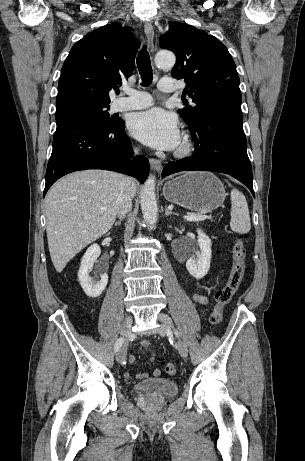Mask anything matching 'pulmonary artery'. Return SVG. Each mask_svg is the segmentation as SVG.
Segmentation results:
<instances>
[{"label": "pulmonary artery", "instance_id": "pulmonary-artery-1", "mask_svg": "<svg viewBox=\"0 0 305 461\" xmlns=\"http://www.w3.org/2000/svg\"><path fill=\"white\" fill-rule=\"evenodd\" d=\"M158 89L162 92H174L177 90V85L174 83L173 78H162L158 84ZM126 97H120L114 100L112 109L114 111H127L143 109L153 104L152 97L141 91L125 90Z\"/></svg>", "mask_w": 305, "mask_h": 461}]
</instances>
